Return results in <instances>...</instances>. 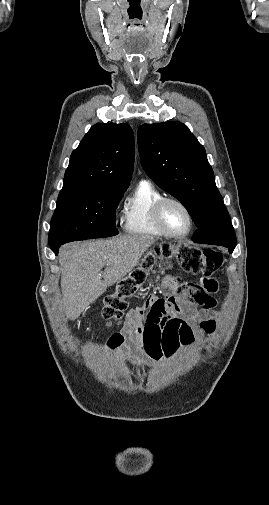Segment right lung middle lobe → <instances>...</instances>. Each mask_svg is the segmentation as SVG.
Returning a JSON list of instances; mask_svg holds the SVG:
<instances>
[{"instance_id": "dd1d6c3e", "label": "right lung middle lobe", "mask_w": 269, "mask_h": 505, "mask_svg": "<svg viewBox=\"0 0 269 505\" xmlns=\"http://www.w3.org/2000/svg\"><path fill=\"white\" fill-rule=\"evenodd\" d=\"M125 191L62 189L51 220L49 246L117 235L115 209Z\"/></svg>"}]
</instances>
